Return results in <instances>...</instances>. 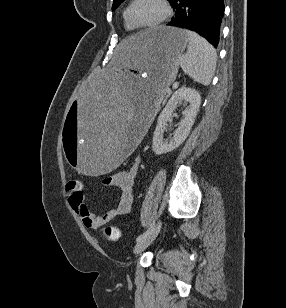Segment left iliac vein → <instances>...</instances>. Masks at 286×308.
<instances>
[{"label": "left iliac vein", "instance_id": "left-iliac-vein-1", "mask_svg": "<svg viewBox=\"0 0 286 308\" xmlns=\"http://www.w3.org/2000/svg\"><path fill=\"white\" fill-rule=\"evenodd\" d=\"M161 229V221H159L152 231L142 240L138 241L134 247V253L139 254L144 251L158 236Z\"/></svg>", "mask_w": 286, "mask_h": 308}]
</instances>
